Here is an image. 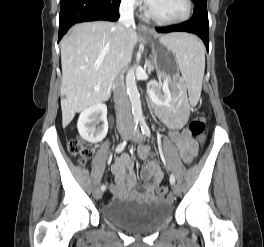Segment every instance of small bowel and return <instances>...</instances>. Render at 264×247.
<instances>
[{
	"label": "small bowel",
	"instance_id": "obj_1",
	"mask_svg": "<svg viewBox=\"0 0 264 247\" xmlns=\"http://www.w3.org/2000/svg\"><path fill=\"white\" fill-rule=\"evenodd\" d=\"M162 119L170 129V138L177 145L183 161L191 163L197 153V144L187 130H181L186 114L174 116L172 114L162 113ZM150 146H141L138 149V156L146 159L150 152ZM115 175L116 185L111 187V192L121 198L136 196L145 199H153L155 190L163 178V173L156 162H149L141 171V177L147 181L143 191H134L137 186V180L133 172L132 161L126 155L117 158L112 166Z\"/></svg>",
	"mask_w": 264,
	"mask_h": 247
}]
</instances>
